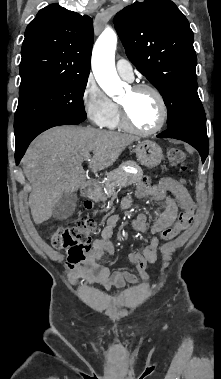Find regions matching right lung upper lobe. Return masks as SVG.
Segmentation results:
<instances>
[{"instance_id": "obj_1", "label": "right lung upper lobe", "mask_w": 221, "mask_h": 379, "mask_svg": "<svg viewBox=\"0 0 221 379\" xmlns=\"http://www.w3.org/2000/svg\"><path fill=\"white\" fill-rule=\"evenodd\" d=\"M93 25L87 15L59 4L40 10L25 31L20 88L90 73Z\"/></svg>"}]
</instances>
